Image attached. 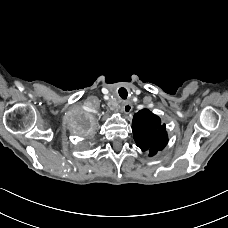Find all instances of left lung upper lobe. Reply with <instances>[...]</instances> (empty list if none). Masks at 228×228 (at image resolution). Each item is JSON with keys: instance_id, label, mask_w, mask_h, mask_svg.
I'll use <instances>...</instances> for the list:
<instances>
[{"instance_id": "left-lung-upper-lobe-1", "label": "left lung upper lobe", "mask_w": 228, "mask_h": 228, "mask_svg": "<svg viewBox=\"0 0 228 228\" xmlns=\"http://www.w3.org/2000/svg\"><path fill=\"white\" fill-rule=\"evenodd\" d=\"M132 130L136 145L150 156L164 149L168 142L165 125L160 118L147 109L137 112L132 121Z\"/></svg>"}]
</instances>
